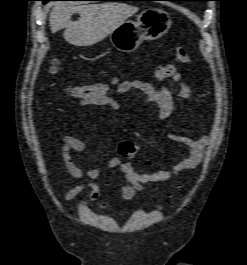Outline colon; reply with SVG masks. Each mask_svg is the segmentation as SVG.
<instances>
[{"label":"colon","mask_w":247,"mask_h":265,"mask_svg":"<svg viewBox=\"0 0 247 265\" xmlns=\"http://www.w3.org/2000/svg\"><path fill=\"white\" fill-rule=\"evenodd\" d=\"M175 59L181 65L190 63V56L185 48L179 47L175 51ZM57 72L56 66L51 68V73ZM113 83H94L89 85L73 86L67 89V94L84 106H106L112 98ZM140 147L132 141H123L118 146V154L122 157L136 155ZM150 164V161H147Z\"/></svg>","instance_id":"5ec220e1"}]
</instances>
